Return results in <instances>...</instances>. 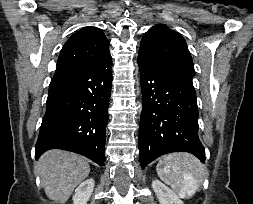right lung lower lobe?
<instances>
[{"mask_svg":"<svg viewBox=\"0 0 253 204\" xmlns=\"http://www.w3.org/2000/svg\"><path fill=\"white\" fill-rule=\"evenodd\" d=\"M111 68L112 58L108 56L95 65L52 79L35 146L36 159L57 148L104 165Z\"/></svg>","mask_w":253,"mask_h":204,"instance_id":"obj_1","label":"right lung lower lobe"}]
</instances>
